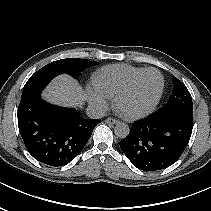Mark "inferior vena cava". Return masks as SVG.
<instances>
[{"instance_id": "1", "label": "inferior vena cava", "mask_w": 211, "mask_h": 211, "mask_svg": "<svg viewBox=\"0 0 211 211\" xmlns=\"http://www.w3.org/2000/svg\"><path fill=\"white\" fill-rule=\"evenodd\" d=\"M88 117L92 119H99L105 116L106 110L100 105H89L86 109Z\"/></svg>"}]
</instances>
